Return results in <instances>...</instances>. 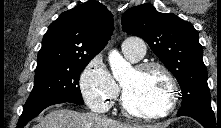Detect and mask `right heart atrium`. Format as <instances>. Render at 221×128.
<instances>
[{
    "mask_svg": "<svg viewBox=\"0 0 221 128\" xmlns=\"http://www.w3.org/2000/svg\"><path fill=\"white\" fill-rule=\"evenodd\" d=\"M80 89L89 108L97 113L103 112L117 96L118 85L101 55L92 57L86 64Z\"/></svg>",
    "mask_w": 221,
    "mask_h": 128,
    "instance_id": "obj_1",
    "label": "right heart atrium"
}]
</instances>
